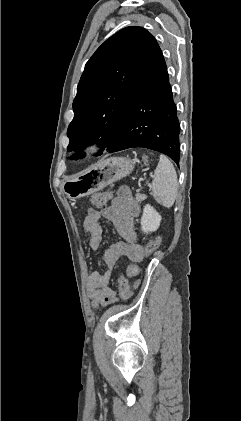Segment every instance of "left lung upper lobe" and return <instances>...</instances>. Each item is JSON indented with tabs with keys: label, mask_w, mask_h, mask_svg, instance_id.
<instances>
[{
	"label": "left lung upper lobe",
	"mask_w": 241,
	"mask_h": 421,
	"mask_svg": "<svg viewBox=\"0 0 241 421\" xmlns=\"http://www.w3.org/2000/svg\"><path fill=\"white\" fill-rule=\"evenodd\" d=\"M156 39L144 28L126 27L107 39L85 65L73 101L74 118L67 136L68 151L78 159L89 144L111 148Z\"/></svg>",
	"instance_id": "5c2ea615"
}]
</instances>
